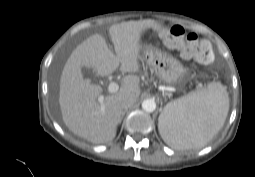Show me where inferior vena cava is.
Segmentation results:
<instances>
[{
	"label": "inferior vena cava",
	"mask_w": 255,
	"mask_h": 177,
	"mask_svg": "<svg viewBox=\"0 0 255 177\" xmlns=\"http://www.w3.org/2000/svg\"><path fill=\"white\" fill-rule=\"evenodd\" d=\"M136 102V98L133 96H126L121 101V106L123 109H128L133 106Z\"/></svg>",
	"instance_id": "602c4592"
}]
</instances>
